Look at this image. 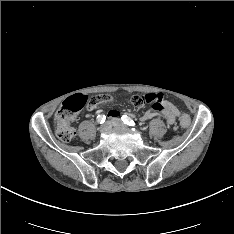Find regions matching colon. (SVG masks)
I'll list each match as a JSON object with an SVG mask.
<instances>
[{
  "mask_svg": "<svg viewBox=\"0 0 234 234\" xmlns=\"http://www.w3.org/2000/svg\"><path fill=\"white\" fill-rule=\"evenodd\" d=\"M164 96L162 93H151L134 95L131 102L136 107L150 105L152 108H159L161 106ZM88 99L83 94H76L67 98L59 107L55 115L57 124V137L63 142H70L75 137V129L71 126V122L77 113L87 104ZM102 106L99 97H94L89 100V107L93 110ZM190 119L187 115H183L180 120L182 127L189 125Z\"/></svg>",
  "mask_w": 234,
  "mask_h": 234,
  "instance_id": "1",
  "label": "colon"
}]
</instances>
